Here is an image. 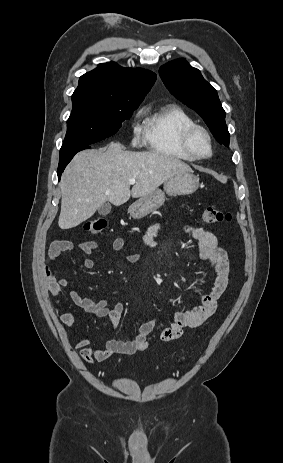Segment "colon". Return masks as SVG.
Instances as JSON below:
<instances>
[{
    "label": "colon",
    "instance_id": "colon-1",
    "mask_svg": "<svg viewBox=\"0 0 283 463\" xmlns=\"http://www.w3.org/2000/svg\"><path fill=\"white\" fill-rule=\"evenodd\" d=\"M229 214L212 207L205 208L202 213V220L207 224H219L229 220ZM107 226L104 218H95L87 221L84 229L91 234L101 233Z\"/></svg>",
    "mask_w": 283,
    "mask_h": 463
}]
</instances>
